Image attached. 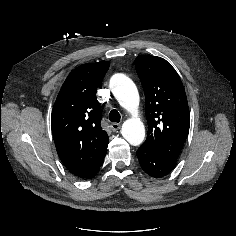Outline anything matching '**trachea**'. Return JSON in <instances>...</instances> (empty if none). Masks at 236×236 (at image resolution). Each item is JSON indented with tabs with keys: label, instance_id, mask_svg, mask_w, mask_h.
Instances as JSON below:
<instances>
[{
	"label": "trachea",
	"instance_id": "trachea-1",
	"mask_svg": "<svg viewBox=\"0 0 236 236\" xmlns=\"http://www.w3.org/2000/svg\"><path fill=\"white\" fill-rule=\"evenodd\" d=\"M121 116L119 114V112L116 109H113L110 111L109 113V120L111 122H120Z\"/></svg>",
	"mask_w": 236,
	"mask_h": 236
}]
</instances>
